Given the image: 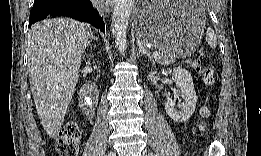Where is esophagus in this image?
<instances>
[{
  "label": "esophagus",
  "mask_w": 261,
  "mask_h": 156,
  "mask_svg": "<svg viewBox=\"0 0 261 156\" xmlns=\"http://www.w3.org/2000/svg\"><path fill=\"white\" fill-rule=\"evenodd\" d=\"M112 5H113V2H111V1L104 3L103 4V11L109 12Z\"/></svg>",
  "instance_id": "esophagus-1"
}]
</instances>
